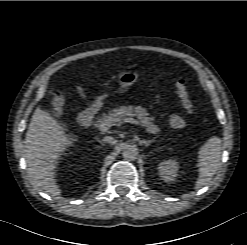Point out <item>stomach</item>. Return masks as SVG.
<instances>
[{
    "instance_id": "0dacf381",
    "label": "stomach",
    "mask_w": 247,
    "mask_h": 245,
    "mask_svg": "<svg viewBox=\"0 0 247 245\" xmlns=\"http://www.w3.org/2000/svg\"><path fill=\"white\" fill-rule=\"evenodd\" d=\"M139 78V73L137 71H123L118 76L119 88L117 90L118 93L124 92L128 90L135 82H137ZM109 96V94L104 93L96 97L93 102V107L101 108L104 104L105 99Z\"/></svg>"
}]
</instances>
